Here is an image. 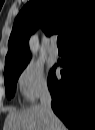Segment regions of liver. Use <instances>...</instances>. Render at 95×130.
Listing matches in <instances>:
<instances>
[{"mask_svg":"<svg viewBox=\"0 0 95 130\" xmlns=\"http://www.w3.org/2000/svg\"><path fill=\"white\" fill-rule=\"evenodd\" d=\"M55 128L66 130L58 118ZM4 130H50V122L41 106L34 105L21 110H11L5 119Z\"/></svg>","mask_w":95,"mask_h":130,"instance_id":"1","label":"liver"}]
</instances>
